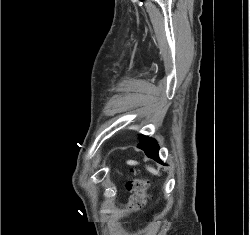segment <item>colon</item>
<instances>
[{
    "instance_id": "5ec220e1",
    "label": "colon",
    "mask_w": 250,
    "mask_h": 235,
    "mask_svg": "<svg viewBox=\"0 0 250 235\" xmlns=\"http://www.w3.org/2000/svg\"><path fill=\"white\" fill-rule=\"evenodd\" d=\"M136 175V171L134 172ZM148 181L137 176L131 177L127 183V190L131 193L129 206L134 210L141 209L147 201Z\"/></svg>"
}]
</instances>
